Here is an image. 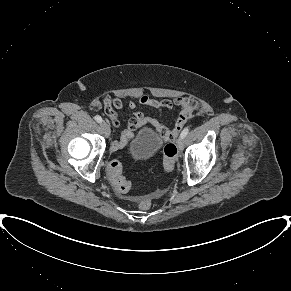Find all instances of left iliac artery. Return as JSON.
Listing matches in <instances>:
<instances>
[{
	"label": "left iliac artery",
	"instance_id": "1",
	"mask_svg": "<svg viewBox=\"0 0 291 291\" xmlns=\"http://www.w3.org/2000/svg\"><path fill=\"white\" fill-rule=\"evenodd\" d=\"M188 132H189V128L186 127V128L181 132V135H180V136H181L182 138H185V137L187 136Z\"/></svg>",
	"mask_w": 291,
	"mask_h": 291
}]
</instances>
